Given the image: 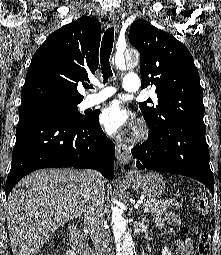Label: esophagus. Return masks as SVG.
<instances>
[{
  "label": "esophagus",
  "mask_w": 221,
  "mask_h": 255,
  "mask_svg": "<svg viewBox=\"0 0 221 255\" xmlns=\"http://www.w3.org/2000/svg\"><path fill=\"white\" fill-rule=\"evenodd\" d=\"M109 20L113 27L118 28L119 26V17L114 12L109 13ZM116 158L120 163H128L129 161V150L126 145L117 143L116 144Z\"/></svg>",
  "instance_id": "esophagus-1"
}]
</instances>
